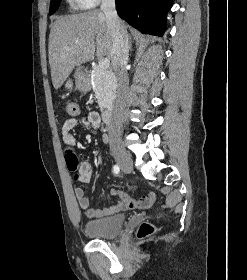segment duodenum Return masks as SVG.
Wrapping results in <instances>:
<instances>
[{
    "instance_id": "410a0bca",
    "label": "duodenum",
    "mask_w": 247,
    "mask_h": 280,
    "mask_svg": "<svg viewBox=\"0 0 247 280\" xmlns=\"http://www.w3.org/2000/svg\"><path fill=\"white\" fill-rule=\"evenodd\" d=\"M102 118L105 124L110 125L113 120V110L111 108H107L102 113Z\"/></svg>"
}]
</instances>
